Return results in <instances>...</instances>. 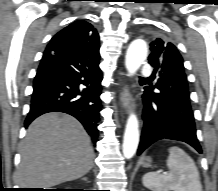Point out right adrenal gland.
<instances>
[{"label":"right adrenal gland","instance_id":"obj_1","mask_svg":"<svg viewBox=\"0 0 218 191\" xmlns=\"http://www.w3.org/2000/svg\"><path fill=\"white\" fill-rule=\"evenodd\" d=\"M82 180H84V181H87V178H86V177H84Z\"/></svg>","mask_w":218,"mask_h":191}]
</instances>
